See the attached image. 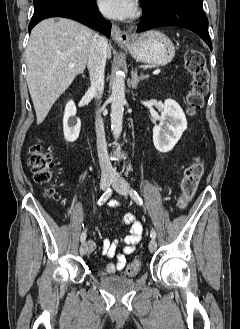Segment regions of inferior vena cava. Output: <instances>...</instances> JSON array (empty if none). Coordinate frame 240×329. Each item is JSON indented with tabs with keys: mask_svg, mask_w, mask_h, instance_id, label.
<instances>
[{
	"mask_svg": "<svg viewBox=\"0 0 240 329\" xmlns=\"http://www.w3.org/2000/svg\"><path fill=\"white\" fill-rule=\"evenodd\" d=\"M108 43L105 37L95 34L88 55V70L90 74V93L100 99L104 90V70L107 58ZM95 129L97 137V153L102 175H113L115 169L112 167L108 157L107 143L103 120L100 115L96 116Z\"/></svg>",
	"mask_w": 240,
	"mask_h": 329,
	"instance_id": "1",
	"label": "inferior vena cava"
}]
</instances>
